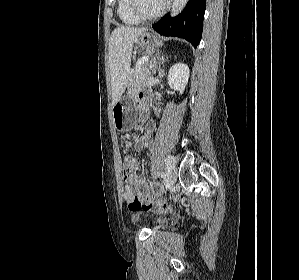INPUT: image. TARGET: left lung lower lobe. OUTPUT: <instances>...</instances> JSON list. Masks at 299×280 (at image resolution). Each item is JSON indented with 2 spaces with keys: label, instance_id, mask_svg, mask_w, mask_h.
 <instances>
[{
  "label": "left lung lower lobe",
  "instance_id": "1",
  "mask_svg": "<svg viewBox=\"0 0 299 280\" xmlns=\"http://www.w3.org/2000/svg\"><path fill=\"white\" fill-rule=\"evenodd\" d=\"M205 7L206 0H189L181 14H167L152 27L161 35L184 38L196 48L202 36Z\"/></svg>",
  "mask_w": 299,
  "mask_h": 280
}]
</instances>
